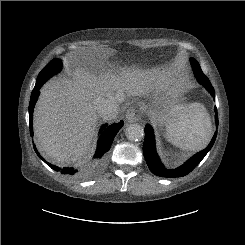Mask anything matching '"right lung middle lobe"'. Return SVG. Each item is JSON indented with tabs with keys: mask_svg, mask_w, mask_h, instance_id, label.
Segmentation results:
<instances>
[{
	"mask_svg": "<svg viewBox=\"0 0 245 245\" xmlns=\"http://www.w3.org/2000/svg\"><path fill=\"white\" fill-rule=\"evenodd\" d=\"M62 62L60 59H53L38 75L39 79H49L61 70Z\"/></svg>",
	"mask_w": 245,
	"mask_h": 245,
	"instance_id": "right-lung-middle-lobe-1",
	"label": "right lung middle lobe"
}]
</instances>
